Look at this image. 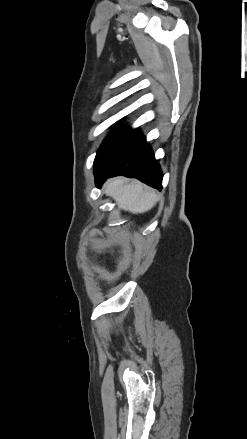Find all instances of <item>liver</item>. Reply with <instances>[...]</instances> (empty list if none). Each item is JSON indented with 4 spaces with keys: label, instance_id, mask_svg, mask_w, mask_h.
I'll return each instance as SVG.
<instances>
[{
    "label": "liver",
    "instance_id": "obj_1",
    "mask_svg": "<svg viewBox=\"0 0 247 439\" xmlns=\"http://www.w3.org/2000/svg\"><path fill=\"white\" fill-rule=\"evenodd\" d=\"M104 193L112 197L120 209L133 214L149 211L158 200L155 191L146 189L140 182H130L123 177L109 180L104 186Z\"/></svg>",
    "mask_w": 247,
    "mask_h": 439
}]
</instances>
